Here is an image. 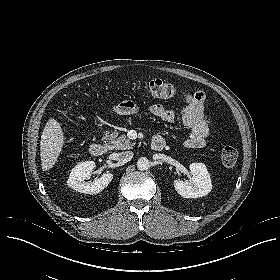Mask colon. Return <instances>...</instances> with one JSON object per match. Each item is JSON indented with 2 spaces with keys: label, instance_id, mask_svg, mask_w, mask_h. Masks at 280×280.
Listing matches in <instances>:
<instances>
[{
  "label": "colon",
  "instance_id": "colon-1",
  "mask_svg": "<svg viewBox=\"0 0 280 280\" xmlns=\"http://www.w3.org/2000/svg\"><path fill=\"white\" fill-rule=\"evenodd\" d=\"M142 91L149 96L159 97V98H170L174 95V86L162 79H155L145 83L142 86ZM134 104L132 102H125L120 106V112L122 115H130L134 111ZM238 158V152L234 147H225L221 153V161L223 165L231 167L235 165Z\"/></svg>",
  "mask_w": 280,
  "mask_h": 280
}]
</instances>
